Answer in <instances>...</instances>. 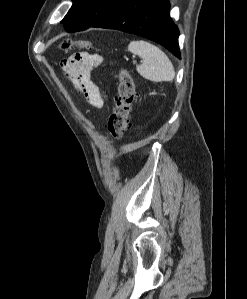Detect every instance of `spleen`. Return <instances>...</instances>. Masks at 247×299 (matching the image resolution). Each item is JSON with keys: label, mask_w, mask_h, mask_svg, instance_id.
<instances>
[{"label": "spleen", "mask_w": 247, "mask_h": 299, "mask_svg": "<svg viewBox=\"0 0 247 299\" xmlns=\"http://www.w3.org/2000/svg\"><path fill=\"white\" fill-rule=\"evenodd\" d=\"M128 51L142 59V63L136 65V70L143 78L154 82L174 79L175 71L172 62L157 46L143 40L131 41Z\"/></svg>", "instance_id": "obj_1"}]
</instances>
